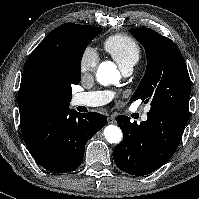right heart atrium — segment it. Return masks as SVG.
<instances>
[{
    "instance_id": "1",
    "label": "right heart atrium",
    "mask_w": 199,
    "mask_h": 199,
    "mask_svg": "<svg viewBox=\"0 0 199 199\" xmlns=\"http://www.w3.org/2000/svg\"><path fill=\"white\" fill-rule=\"evenodd\" d=\"M98 61L99 57L96 51L91 47L85 48L80 59L81 72L82 73L92 72L96 68Z\"/></svg>"
}]
</instances>
